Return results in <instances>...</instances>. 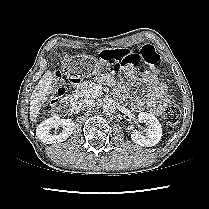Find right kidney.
<instances>
[{
  "mask_svg": "<svg viewBox=\"0 0 209 209\" xmlns=\"http://www.w3.org/2000/svg\"><path fill=\"white\" fill-rule=\"evenodd\" d=\"M59 126L63 127V131L59 134H51V130L53 128H58ZM74 126L75 124L71 119H60L58 115H55L44 120L37 127L36 136L45 144L63 142L71 136Z\"/></svg>",
  "mask_w": 209,
  "mask_h": 209,
  "instance_id": "ca27d5eb",
  "label": "right kidney"
}]
</instances>
